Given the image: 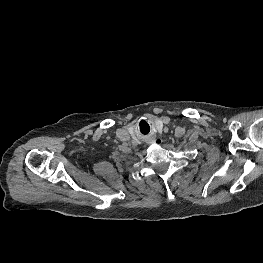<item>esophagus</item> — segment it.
Instances as JSON below:
<instances>
[{
    "mask_svg": "<svg viewBox=\"0 0 263 263\" xmlns=\"http://www.w3.org/2000/svg\"><path fill=\"white\" fill-rule=\"evenodd\" d=\"M161 142H162L161 139H156V140H155V143H157V144H160Z\"/></svg>",
    "mask_w": 263,
    "mask_h": 263,
    "instance_id": "34e87169",
    "label": "esophagus"
}]
</instances>
